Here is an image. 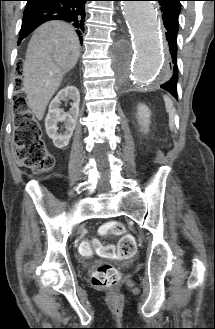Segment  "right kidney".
<instances>
[{
	"instance_id": "right-kidney-1",
	"label": "right kidney",
	"mask_w": 215,
	"mask_h": 329,
	"mask_svg": "<svg viewBox=\"0 0 215 329\" xmlns=\"http://www.w3.org/2000/svg\"><path fill=\"white\" fill-rule=\"evenodd\" d=\"M72 100L68 113L61 108V102ZM80 94L75 86H66L61 89L49 105V111L45 119V128L48 136L52 139L57 148H64L69 144L76 126L79 115ZM58 122H63L65 131L58 132Z\"/></svg>"
}]
</instances>
